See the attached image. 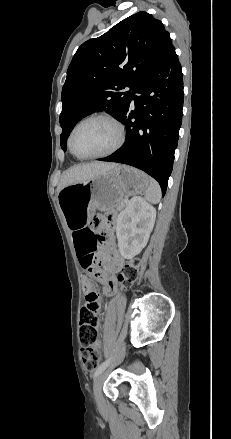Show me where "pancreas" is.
Masks as SVG:
<instances>
[{"mask_svg":"<svg viewBox=\"0 0 231 439\" xmlns=\"http://www.w3.org/2000/svg\"><path fill=\"white\" fill-rule=\"evenodd\" d=\"M126 203H127V201H126V200H123V201L120 203V205H119V209H122V208L125 206Z\"/></svg>","mask_w":231,"mask_h":439,"instance_id":"cf45deb5","label":"pancreas"}]
</instances>
